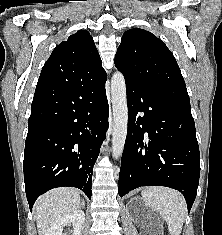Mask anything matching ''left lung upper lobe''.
<instances>
[{
  "label": "left lung upper lobe",
  "instance_id": "1",
  "mask_svg": "<svg viewBox=\"0 0 222 235\" xmlns=\"http://www.w3.org/2000/svg\"><path fill=\"white\" fill-rule=\"evenodd\" d=\"M115 66L125 80L190 107L179 66L165 43L141 28L123 34Z\"/></svg>",
  "mask_w": 222,
  "mask_h": 235
}]
</instances>
